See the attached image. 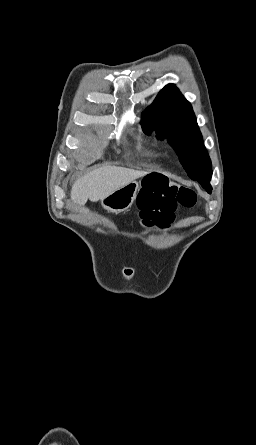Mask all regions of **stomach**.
Here are the masks:
<instances>
[{
    "instance_id": "stomach-1",
    "label": "stomach",
    "mask_w": 256,
    "mask_h": 445,
    "mask_svg": "<svg viewBox=\"0 0 256 445\" xmlns=\"http://www.w3.org/2000/svg\"><path fill=\"white\" fill-rule=\"evenodd\" d=\"M140 188L141 182L132 181L103 198L101 205L116 214L125 212L133 204Z\"/></svg>"
}]
</instances>
